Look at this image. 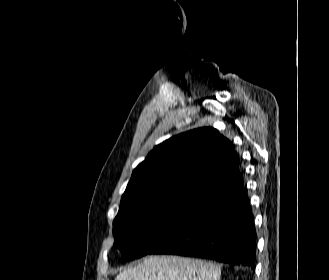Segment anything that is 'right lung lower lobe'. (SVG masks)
Wrapping results in <instances>:
<instances>
[{
	"label": "right lung lower lobe",
	"mask_w": 329,
	"mask_h": 280,
	"mask_svg": "<svg viewBox=\"0 0 329 280\" xmlns=\"http://www.w3.org/2000/svg\"><path fill=\"white\" fill-rule=\"evenodd\" d=\"M256 232L240 172L221 181L149 254H175L253 266ZM254 269V266H253Z\"/></svg>",
	"instance_id": "1"
}]
</instances>
